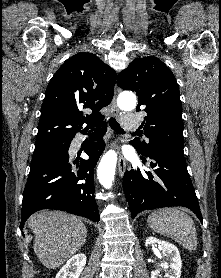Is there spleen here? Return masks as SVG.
Returning a JSON list of instances; mask_svg holds the SVG:
<instances>
[{"mask_svg":"<svg viewBox=\"0 0 221 278\" xmlns=\"http://www.w3.org/2000/svg\"><path fill=\"white\" fill-rule=\"evenodd\" d=\"M147 223L156 233L170 237L185 249L196 250V227L191 217L180 209H158L148 216Z\"/></svg>","mask_w":221,"mask_h":278,"instance_id":"1","label":"spleen"}]
</instances>
